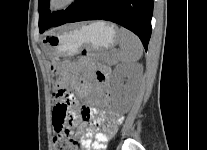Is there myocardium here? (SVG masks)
Returning <instances> with one entry per match:
<instances>
[{"mask_svg":"<svg viewBox=\"0 0 207 150\" xmlns=\"http://www.w3.org/2000/svg\"><path fill=\"white\" fill-rule=\"evenodd\" d=\"M78 0H64L62 3L57 4L56 0H48V8L52 12H62L72 7Z\"/></svg>","mask_w":207,"mask_h":150,"instance_id":"f54148a6","label":"myocardium"}]
</instances>
